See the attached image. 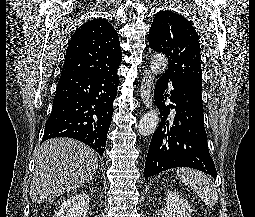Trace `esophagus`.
Segmentation results:
<instances>
[{"mask_svg": "<svg viewBox=\"0 0 255 217\" xmlns=\"http://www.w3.org/2000/svg\"><path fill=\"white\" fill-rule=\"evenodd\" d=\"M153 75L150 70H145L141 80L140 96L146 108H151L153 104L151 90L153 87Z\"/></svg>", "mask_w": 255, "mask_h": 217, "instance_id": "1", "label": "esophagus"}]
</instances>
